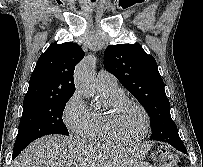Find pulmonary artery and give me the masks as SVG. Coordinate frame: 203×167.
Segmentation results:
<instances>
[{
  "mask_svg": "<svg viewBox=\"0 0 203 167\" xmlns=\"http://www.w3.org/2000/svg\"><path fill=\"white\" fill-rule=\"evenodd\" d=\"M96 83L99 88L115 87L117 86V79L108 71L101 70L97 74Z\"/></svg>",
  "mask_w": 203,
  "mask_h": 167,
  "instance_id": "pulmonary-artery-1",
  "label": "pulmonary artery"
}]
</instances>
